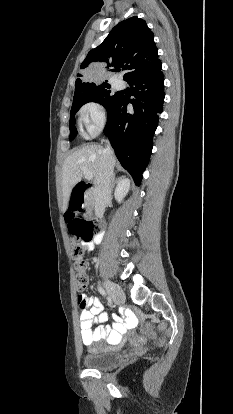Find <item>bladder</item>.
Listing matches in <instances>:
<instances>
[{"mask_svg":"<svg viewBox=\"0 0 233 414\" xmlns=\"http://www.w3.org/2000/svg\"><path fill=\"white\" fill-rule=\"evenodd\" d=\"M120 359V354L111 349H99L83 358V364L88 369L104 370L113 367Z\"/></svg>","mask_w":233,"mask_h":414,"instance_id":"31cf9c89","label":"bladder"}]
</instances>
